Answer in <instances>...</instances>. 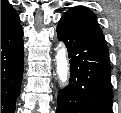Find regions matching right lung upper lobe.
Returning <instances> with one entry per match:
<instances>
[{
	"label": "right lung upper lobe",
	"mask_w": 121,
	"mask_h": 113,
	"mask_svg": "<svg viewBox=\"0 0 121 113\" xmlns=\"http://www.w3.org/2000/svg\"><path fill=\"white\" fill-rule=\"evenodd\" d=\"M19 16L7 1H1V35L19 25Z\"/></svg>",
	"instance_id": "obj_1"
}]
</instances>
